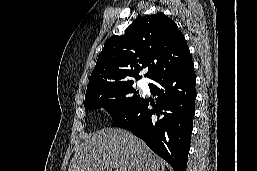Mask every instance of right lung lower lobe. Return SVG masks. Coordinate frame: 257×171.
<instances>
[{"label": "right lung lower lobe", "instance_id": "obj_1", "mask_svg": "<svg viewBox=\"0 0 257 171\" xmlns=\"http://www.w3.org/2000/svg\"><path fill=\"white\" fill-rule=\"evenodd\" d=\"M149 84L157 105L149 109L140 98L125 114L114 119L112 127L130 130L175 171H186L196 99L193 61L152 78Z\"/></svg>", "mask_w": 257, "mask_h": 171}]
</instances>
